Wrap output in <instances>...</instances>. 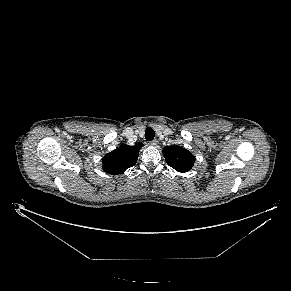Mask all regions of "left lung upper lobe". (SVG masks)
<instances>
[{"label": "left lung upper lobe", "mask_w": 291, "mask_h": 291, "mask_svg": "<svg viewBox=\"0 0 291 291\" xmlns=\"http://www.w3.org/2000/svg\"><path fill=\"white\" fill-rule=\"evenodd\" d=\"M163 155L169 166L182 173L191 170L195 162V157L190 151L177 145L165 147Z\"/></svg>", "instance_id": "1"}]
</instances>
